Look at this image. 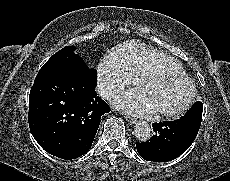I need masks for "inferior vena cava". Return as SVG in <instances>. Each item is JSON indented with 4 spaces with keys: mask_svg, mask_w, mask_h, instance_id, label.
Returning <instances> with one entry per match:
<instances>
[{
    "mask_svg": "<svg viewBox=\"0 0 230 181\" xmlns=\"http://www.w3.org/2000/svg\"><path fill=\"white\" fill-rule=\"evenodd\" d=\"M96 91L102 98L106 99L116 92V89H114L109 82L100 80L97 84Z\"/></svg>",
    "mask_w": 230,
    "mask_h": 181,
    "instance_id": "inferior-vena-cava-1",
    "label": "inferior vena cava"
}]
</instances>
